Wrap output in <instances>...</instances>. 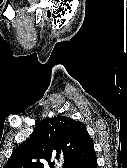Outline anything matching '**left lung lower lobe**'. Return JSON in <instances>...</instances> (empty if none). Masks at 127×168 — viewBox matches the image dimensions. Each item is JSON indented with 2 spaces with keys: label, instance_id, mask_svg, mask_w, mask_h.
<instances>
[{
  "label": "left lung lower lobe",
  "instance_id": "1",
  "mask_svg": "<svg viewBox=\"0 0 127 168\" xmlns=\"http://www.w3.org/2000/svg\"><path fill=\"white\" fill-rule=\"evenodd\" d=\"M97 160L93 140L89 136L82 144L73 168H96Z\"/></svg>",
  "mask_w": 127,
  "mask_h": 168
}]
</instances>
